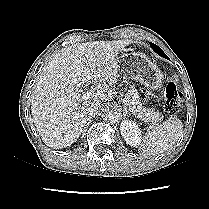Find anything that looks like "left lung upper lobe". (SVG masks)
I'll return each instance as SVG.
<instances>
[{
	"label": "left lung upper lobe",
	"mask_w": 209,
	"mask_h": 209,
	"mask_svg": "<svg viewBox=\"0 0 209 209\" xmlns=\"http://www.w3.org/2000/svg\"><path fill=\"white\" fill-rule=\"evenodd\" d=\"M151 48L161 57L168 58L167 55L155 44L150 43Z\"/></svg>",
	"instance_id": "left-lung-upper-lobe-1"
}]
</instances>
